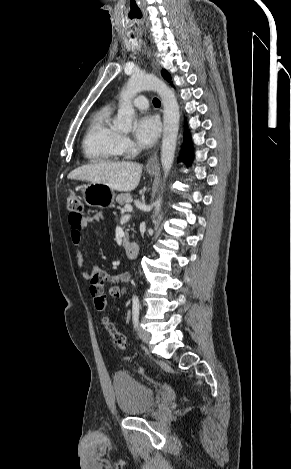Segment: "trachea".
Listing matches in <instances>:
<instances>
[{"mask_svg": "<svg viewBox=\"0 0 291 469\" xmlns=\"http://www.w3.org/2000/svg\"><path fill=\"white\" fill-rule=\"evenodd\" d=\"M153 104H154V106L159 107L161 103H160V100L158 98H154L153 99Z\"/></svg>", "mask_w": 291, "mask_h": 469, "instance_id": "obj_1", "label": "trachea"}]
</instances>
